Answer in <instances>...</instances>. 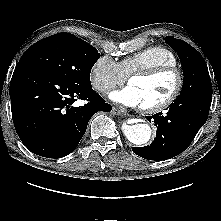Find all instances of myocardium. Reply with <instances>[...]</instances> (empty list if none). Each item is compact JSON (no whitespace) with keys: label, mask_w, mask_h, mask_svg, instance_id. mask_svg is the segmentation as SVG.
<instances>
[{"label":"myocardium","mask_w":221,"mask_h":221,"mask_svg":"<svg viewBox=\"0 0 221 221\" xmlns=\"http://www.w3.org/2000/svg\"><path fill=\"white\" fill-rule=\"evenodd\" d=\"M172 73L176 76V85L173 92L163 101L158 102L150 106H141V109L147 113H159L168 109L180 96L184 86V74L182 70L177 66L172 65H161L149 69H142L132 72L128 76V82L133 78H151L162 74Z\"/></svg>","instance_id":"1"}]
</instances>
